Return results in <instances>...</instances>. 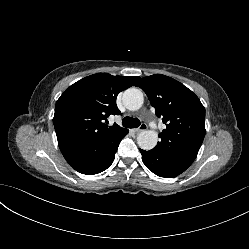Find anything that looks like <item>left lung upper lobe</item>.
<instances>
[{
  "mask_svg": "<svg viewBox=\"0 0 249 249\" xmlns=\"http://www.w3.org/2000/svg\"><path fill=\"white\" fill-rule=\"evenodd\" d=\"M136 86L148 96L166 129L155 152L195 159L205 136V108L186 86L165 75L139 79Z\"/></svg>",
  "mask_w": 249,
  "mask_h": 249,
  "instance_id": "obj_1",
  "label": "left lung upper lobe"
}]
</instances>
